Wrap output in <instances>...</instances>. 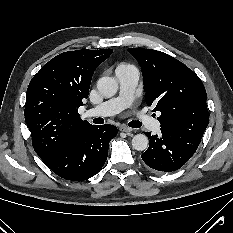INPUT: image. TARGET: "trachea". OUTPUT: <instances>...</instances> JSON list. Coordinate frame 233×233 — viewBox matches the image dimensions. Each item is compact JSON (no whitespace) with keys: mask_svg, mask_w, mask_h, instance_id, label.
Masks as SVG:
<instances>
[{"mask_svg":"<svg viewBox=\"0 0 233 233\" xmlns=\"http://www.w3.org/2000/svg\"><path fill=\"white\" fill-rule=\"evenodd\" d=\"M128 125L132 128H140L142 123L140 121H131Z\"/></svg>","mask_w":233,"mask_h":233,"instance_id":"3493384b","label":"trachea"}]
</instances>
